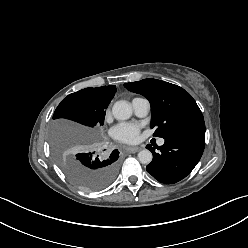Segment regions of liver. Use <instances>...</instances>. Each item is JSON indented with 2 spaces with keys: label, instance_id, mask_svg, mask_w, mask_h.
Segmentation results:
<instances>
[{
  "label": "liver",
  "instance_id": "liver-1",
  "mask_svg": "<svg viewBox=\"0 0 248 248\" xmlns=\"http://www.w3.org/2000/svg\"><path fill=\"white\" fill-rule=\"evenodd\" d=\"M56 129H59L63 135L76 133L87 137H93L91 129L76 125L67 121H60L55 124Z\"/></svg>",
  "mask_w": 248,
  "mask_h": 248
}]
</instances>
